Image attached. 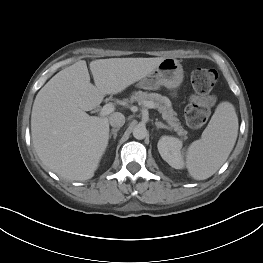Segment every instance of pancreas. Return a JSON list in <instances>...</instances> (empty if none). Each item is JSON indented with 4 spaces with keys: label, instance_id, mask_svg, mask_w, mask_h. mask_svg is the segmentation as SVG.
Wrapping results in <instances>:
<instances>
[{
    "label": "pancreas",
    "instance_id": "cf45deb5",
    "mask_svg": "<svg viewBox=\"0 0 263 263\" xmlns=\"http://www.w3.org/2000/svg\"><path fill=\"white\" fill-rule=\"evenodd\" d=\"M138 102L143 104L146 101H152L158 106V111L162 114V117L169 125L170 129H173L183 139L187 138V131L181 126L179 119L176 117V112L171 107V102L166 96H162L158 93H148L143 91L135 92L130 102Z\"/></svg>",
    "mask_w": 263,
    "mask_h": 263
}]
</instances>
